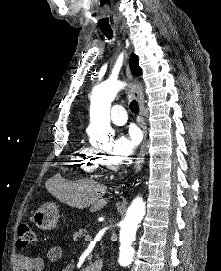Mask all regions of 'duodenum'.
<instances>
[{
    "instance_id": "1",
    "label": "duodenum",
    "mask_w": 221,
    "mask_h": 271,
    "mask_svg": "<svg viewBox=\"0 0 221 271\" xmlns=\"http://www.w3.org/2000/svg\"><path fill=\"white\" fill-rule=\"evenodd\" d=\"M102 267H103V261L101 258H98L92 263L82 268L81 271H101Z\"/></svg>"
}]
</instances>
